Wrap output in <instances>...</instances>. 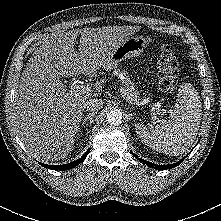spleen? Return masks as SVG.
<instances>
[{
  "mask_svg": "<svg viewBox=\"0 0 221 221\" xmlns=\"http://www.w3.org/2000/svg\"><path fill=\"white\" fill-rule=\"evenodd\" d=\"M201 109L197 90L190 83H183L179 87L177 102L169 121L152 130L136 125L137 134L153 150L172 156L181 155L196 138L202 116Z\"/></svg>",
  "mask_w": 221,
  "mask_h": 221,
  "instance_id": "obj_1",
  "label": "spleen"
}]
</instances>
